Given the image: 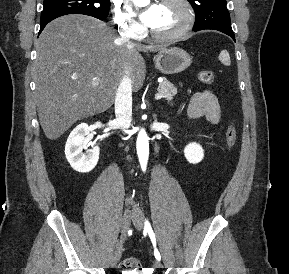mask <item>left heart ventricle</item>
Instances as JSON below:
<instances>
[{
	"label": "left heart ventricle",
	"instance_id": "1",
	"mask_svg": "<svg viewBox=\"0 0 289 274\" xmlns=\"http://www.w3.org/2000/svg\"><path fill=\"white\" fill-rule=\"evenodd\" d=\"M185 20L183 7L176 2L159 4L155 20L150 26L160 33H171L179 29Z\"/></svg>",
	"mask_w": 289,
	"mask_h": 274
}]
</instances>
